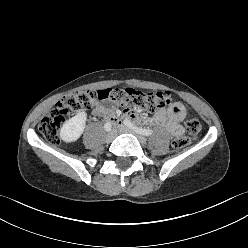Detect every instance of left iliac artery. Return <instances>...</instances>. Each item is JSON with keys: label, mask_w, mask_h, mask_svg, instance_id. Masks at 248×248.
I'll return each instance as SVG.
<instances>
[{"label": "left iliac artery", "mask_w": 248, "mask_h": 248, "mask_svg": "<svg viewBox=\"0 0 248 248\" xmlns=\"http://www.w3.org/2000/svg\"><path fill=\"white\" fill-rule=\"evenodd\" d=\"M124 125L133 129L135 132L141 134V135H144V136H150L153 134V131L152 130H149V129H143V128H140V127H137L135 126L130 120L126 119L124 120Z\"/></svg>", "instance_id": "obj_1"}]
</instances>
